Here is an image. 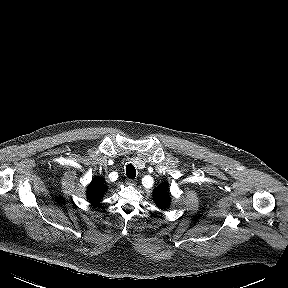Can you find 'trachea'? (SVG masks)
Segmentation results:
<instances>
[{
	"mask_svg": "<svg viewBox=\"0 0 288 288\" xmlns=\"http://www.w3.org/2000/svg\"><path fill=\"white\" fill-rule=\"evenodd\" d=\"M126 175L131 179L136 177V169L132 164L126 166Z\"/></svg>",
	"mask_w": 288,
	"mask_h": 288,
	"instance_id": "3493384b",
	"label": "trachea"
}]
</instances>
